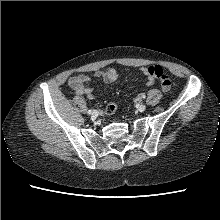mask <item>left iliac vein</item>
Segmentation results:
<instances>
[{
	"label": "left iliac vein",
	"mask_w": 220,
	"mask_h": 220,
	"mask_svg": "<svg viewBox=\"0 0 220 220\" xmlns=\"http://www.w3.org/2000/svg\"><path fill=\"white\" fill-rule=\"evenodd\" d=\"M145 109H146V106L144 104L138 105V111L143 112L145 111Z\"/></svg>",
	"instance_id": "left-iliac-vein-1"
}]
</instances>
